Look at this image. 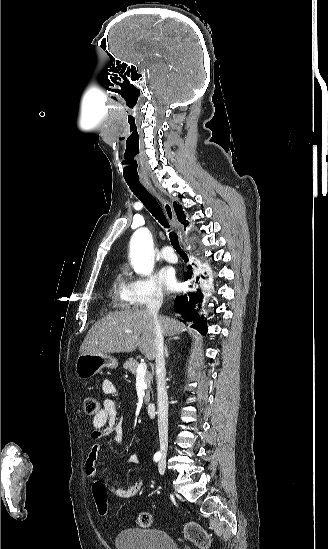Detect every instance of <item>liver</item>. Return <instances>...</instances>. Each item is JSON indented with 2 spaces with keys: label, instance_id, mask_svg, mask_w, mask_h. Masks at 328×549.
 <instances>
[{
  "label": "liver",
  "instance_id": "6515ba94",
  "mask_svg": "<svg viewBox=\"0 0 328 549\" xmlns=\"http://www.w3.org/2000/svg\"><path fill=\"white\" fill-rule=\"evenodd\" d=\"M159 325L163 335L172 339H177L174 335L185 331L183 323L162 315H159ZM137 347L146 359L154 361V319L146 309H124L108 313L93 325L80 347V355L133 353Z\"/></svg>",
  "mask_w": 328,
  "mask_h": 549
}]
</instances>
